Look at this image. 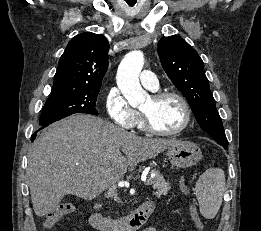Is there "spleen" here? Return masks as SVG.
Listing matches in <instances>:
<instances>
[{"mask_svg": "<svg viewBox=\"0 0 261 231\" xmlns=\"http://www.w3.org/2000/svg\"><path fill=\"white\" fill-rule=\"evenodd\" d=\"M224 191L225 175L222 169L210 168L201 174L195 186V194L202 216L207 219L216 216Z\"/></svg>", "mask_w": 261, "mask_h": 231, "instance_id": "spleen-1", "label": "spleen"}]
</instances>
